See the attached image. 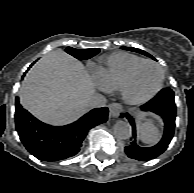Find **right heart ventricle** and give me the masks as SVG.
I'll return each mask as SVG.
<instances>
[{"label":"right heart ventricle","instance_id":"1","mask_svg":"<svg viewBox=\"0 0 194 193\" xmlns=\"http://www.w3.org/2000/svg\"><path fill=\"white\" fill-rule=\"evenodd\" d=\"M141 60L137 55L119 51L102 58L97 70L110 89H117L129 69Z\"/></svg>","mask_w":194,"mask_h":193}]
</instances>
